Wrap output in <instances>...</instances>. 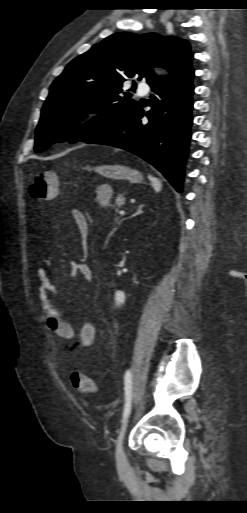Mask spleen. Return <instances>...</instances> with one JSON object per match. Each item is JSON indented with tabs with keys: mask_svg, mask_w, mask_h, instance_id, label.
Returning <instances> with one entry per match:
<instances>
[{
	"mask_svg": "<svg viewBox=\"0 0 247 513\" xmlns=\"http://www.w3.org/2000/svg\"><path fill=\"white\" fill-rule=\"evenodd\" d=\"M151 181H152V186L154 188V190L156 192H160L161 191V188H162V183L160 180H158L157 178L155 177H152L151 178Z\"/></svg>",
	"mask_w": 247,
	"mask_h": 513,
	"instance_id": "obj_1",
	"label": "spleen"
}]
</instances>
